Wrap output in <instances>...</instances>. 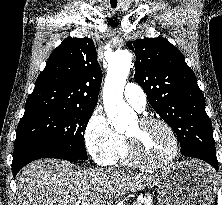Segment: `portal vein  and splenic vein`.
<instances>
[{"mask_svg": "<svg viewBox=\"0 0 222 205\" xmlns=\"http://www.w3.org/2000/svg\"><path fill=\"white\" fill-rule=\"evenodd\" d=\"M80 204V201L76 202V205H79ZM84 205H89V204H84Z\"/></svg>", "mask_w": 222, "mask_h": 205, "instance_id": "18ae733b", "label": "portal vein and splenic vein"}]
</instances>
